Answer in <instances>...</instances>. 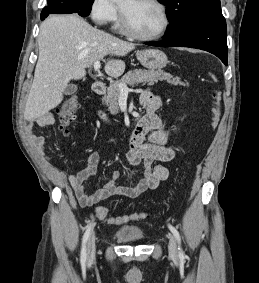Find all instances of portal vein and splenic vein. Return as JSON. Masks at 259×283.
<instances>
[{
    "mask_svg": "<svg viewBox=\"0 0 259 283\" xmlns=\"http://www.w3.org/2000/svg\"><path fill=\"white\" fill-rule=\"evenodd\" d=\"M100 67H101L100 61H96L94 63V70L99 71ZM118 88L120 89L121 93H128L129 92V88L127 87V85H125L123 83L118 84Z\"/></svg>",
    "mask_w": 259,
    "mask_h": 283,
    "instance_id": "obj_1",
    "label": "portal vein and splenic vein"
}]
</instances>
